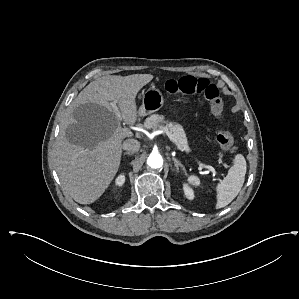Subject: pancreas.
Masks as SVG:
<instances>
[{
	"label": "pancreas",
	"mask_w": 299,
	"mask_h": 299,
	"mask_svg": "<svg viewBox=\"0 0 299 299\" xmlns=\"http://www.w3.org/2000/svg\"><path fill=\"white\" fill-rule=\"evenodd\" d=\"M163 123L166 124V128L169 129L171 134L174 136L178 148L180 150L189 151L186 134L183 130V127L180 124L165 120V118L161 115L153 114L145 120L144 127L147 129H155Z\"/></svg>",
	"instance_id": "pancreas-1"
}]
</instances>
